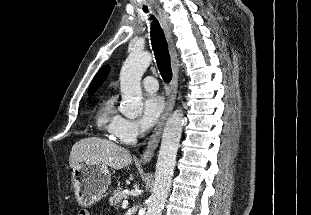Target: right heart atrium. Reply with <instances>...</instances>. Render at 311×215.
<instances>
[{
	"label": "right heart atrium",
	"instance_id": "d8ad5b80",
	"mask_svg": "<svg viewBox=\"0 0 311 215\" xmlns=\"http://www.w3.org/2000/svg\"><path fill=\"white\" fill-rule=\"evenodd\" d=\"M140 134L139 126L136 121L122 118L117 124L114 136L124 144H133Z\"/></svg>",
	"mask_w": 311,
	"mask_h": 215
}]
</instances>
